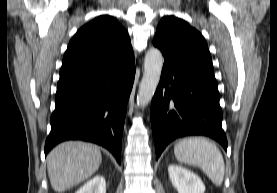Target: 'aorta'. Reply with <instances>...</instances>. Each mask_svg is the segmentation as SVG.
<instances>
[{
	"label": "aorta",
	"instance_id": "obj_1",
	"mask_svg": "<svg viewBox=\"0 0 277 193\" xmlns=\"http://www.w3.org/2000/svg\"><path fill=\"white\" fill-rule=\"evenodd\" d=\"M163 55L157 48H150L144 60V73L137 94V105L145 107L151 101L158 86L163 67Z\"/></svg>",
	"mask_w": 277,
	"mask_h": 193
}]
</instances>
